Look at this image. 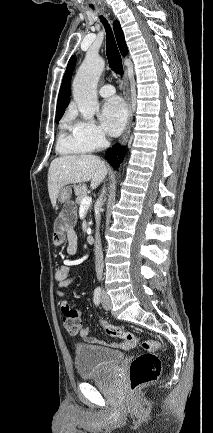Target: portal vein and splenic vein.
<instances>
[{
    "label": "portal vein and splenic vein",
    "mask_w": 213,
    "mask_h": 433,
    "mask_svg": "<svg viewBox=\"0 0 213 433\" xmlns=\"http://www.w3.org/2000/svg\"><path fill=\"white\" fill-rule=\"evenodd\" d=\"M91 202H92L91 197L87 196V197L83 198L81 200V203H80V208H88L90 206Z\"/></svg>",
    "instance_id": "1"
}]
</instances>
